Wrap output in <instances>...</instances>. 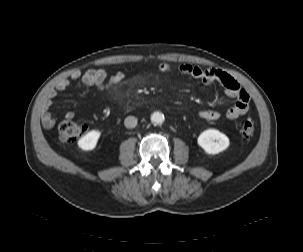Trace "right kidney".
<instances>
[{
	"instance_id": "1",
	"label": "right kidney",
	"mask_w": 303,
	"mask_h": 252,
	"mask_svg": "<svg viewBox=\"0 0 303 252\" xmlns=\"http://www.w3.org/2000/svg\"><path fill=\"white\" fill-rule=\"evenodd\" d=\"M100 136L101 132L98 130H92L88 132L78 140L79 148L84 151H91L95 149Z\"/></svg>"
}]
</instances>
